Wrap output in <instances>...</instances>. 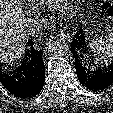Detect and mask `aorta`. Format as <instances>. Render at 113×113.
Masks as SVG:
<instances>
[{
    "label": "aorta",
    "instance_id": "aorta-1",
    "mask_svg": "<svg viewBox=\"0 0 113 113\" xmlns=\"http://www.w3.org/2000/svg\"><path fill=\"white\" fill-rule=\"evenodd\" d=\"M47 47L50 52L58 55H65L70 51L69 40L64 36L51 39L48 41Z\"/></svg>",
    "mask_w": 113,
    "mask_h": 113
}]
</instances>
